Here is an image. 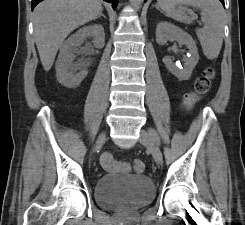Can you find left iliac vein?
Returning a JSON list of instances; mask_svg holds the SVG:
<instances>
[{"label":"left iliac vein","mask_w":245,"mask_h":225,"mask_svg":"<svg viewBox=\"0 0 245 225\" xmlns=\"http://www.w3.org/2000/svg\"><path fill=\"white\" fill-rule=\"evenodd\" d=\"M139 141L151 151L155 162L160 164L162 162V153L159 147L155 144L153 135L145 130H141Z\"/></svg>","instance_id":"obj_1"}]
</instances>
